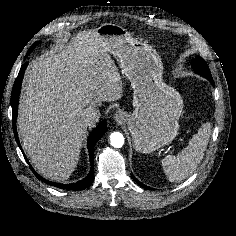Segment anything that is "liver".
Listing matches in <instances>:
<instances>
[{
	"mask_svg": "<svg viewBox=\"0 0 236 236\" xmlns=\"http://www.w3.org/2000/svg\"><path fill=\"white\" fill-rule=\"evenodd\" d=\"M122 96L121 76L97 29L78 32L67 45L34 60L24 78L17 122L34 168L47 179L67 180L87 134L84 110Z\"/></svg>",
	"mask_w": 236,
	"mask_h": 236,
	"instance_id": "liver-1",
	"label": "liver"
}]
</instances>
